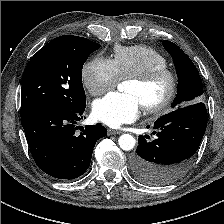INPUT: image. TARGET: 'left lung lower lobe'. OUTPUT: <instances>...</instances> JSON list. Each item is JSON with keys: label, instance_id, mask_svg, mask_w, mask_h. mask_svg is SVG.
Here are the masks:
<instances>
[{"label": "left lung lower lobe", "instance_id": "0a47b994", "mask_svg": "<svg viewBox=\"0 0 224 224\" xmlns=\"http://www.w3.org/2000/svg\"><path fill=\"white\" fill-rule=\"evenodd\" d=\"M207 126L203 102L178 108L154 123L152 141L139 136L132 158L134 176L144 184L162 186L181 177L190 166Z\"/></svg>", "mask_w": 224, "mask_h": 224}]
</instances>
